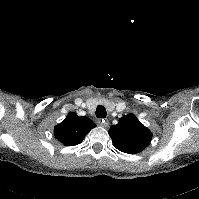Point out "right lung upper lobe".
Segmentation results:
<instances>
[{
    "label": "right lung upper lobe",
    "instance_id": "obj_1",
    "mask_svg": "<svg viewBox=\"0 0 199 199\" xmlns=\"http://www.w3.org/2000/svg\"><path fill=\"white\" fill-rule=\"evenodd\" d=\"M96 127L88 117H79L70 113L59 125L55 126V137L66 146H74L82 142L86 134Z\"/></svg>",
    "mask_w": 199,
    "mask_h": 199
}]
</instances>
